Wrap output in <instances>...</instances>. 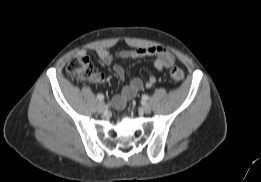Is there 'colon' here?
I'll return each instance as SVG.
<instances>
[{"instance_id":"colon-1","label":"colon","mask_w":261,"mask_h":182,"mask_svg":"<svg viewBox=\"0 0 261 182\" xmlns=\"http://www.w3.org/2000/svg\"><path fill=\"white\" fill-rule=\"evenodd\" d=\"M66 72L73 79L88 80L92 78L93 66L87 57L74 55L67 63ZM170 77L176 82H181L184 78V73L180 68L172 67Z\"/></svg>"}]
</instances>
